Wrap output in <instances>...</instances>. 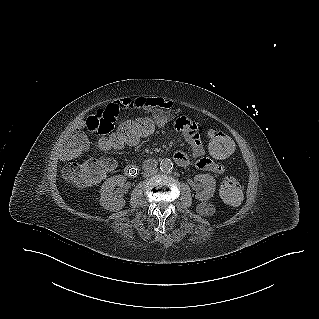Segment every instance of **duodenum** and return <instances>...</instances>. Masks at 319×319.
I'll return each mask as SVG.
<instances>
[{
	"label": "duodenum",
	"mask_w": 319,
	"mask_h": 319,
	"mask_svg": "<svg viewBox=\"0 0 319 319\" xmlns=\"http://www.w3.org/2000/svg\"><path fill=\"white\" fill-rule=\"evenodd\" d=\"M157 165L158 160L156 158H149L143 163L142 168L144 170H152L156 168ZM124 172L128 177L134 178L139 172V167L135 164H128L125 166Z\"/></svg>",
	"instance_id": "410a0bca"
}]
</instances>
